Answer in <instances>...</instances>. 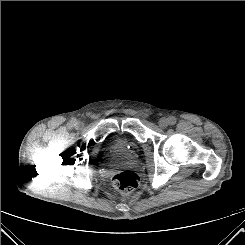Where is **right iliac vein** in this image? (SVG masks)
<instances>
[{"mask_svg":"<svg viewBox=\"0 0 245 245\" xmlns=\"http://www.w3.org/2000/svg\"><path fill=\"white\" fill-rule=\"evenodd\" d=\"M83 127V123L82 122H77L76 123V128H82Z\"/></svg>","mask_w":245,"mask_h":245,"instance_id":"1","label":"right iliac vein"}]
</instances>
